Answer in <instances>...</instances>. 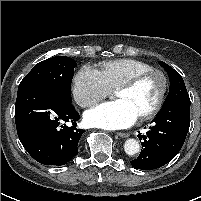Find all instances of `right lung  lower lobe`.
Masks as SVG:
<instances>
[{"label": "right lung lower lobe", "mask_w": 201, "mask_h": 201, "mask_svg": "<svg viewBox=\"0 0 201 201\" xmlns=\"http://www.w3.org/2000/svg\"><path fill=\"white\" fill-rule=\"evenodd\" d=\"M71 101L46 86H30L17 94L15 123L26 151L45 165H65L78 153L83 130ZM71 122L73 126H67Z\"/></svg>", "instance_id": "right-lung-lower-lobe-1"}]
</instances>
